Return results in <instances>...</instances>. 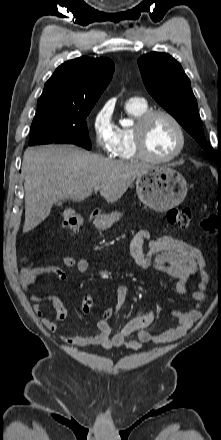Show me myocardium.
<instances>
[{"instance_id": "1", "label": "myocardium", "mask_w": 221, "mask_h": 440, "mask_svg": "<svg viewBox=\"0 0 221 440\" xmlns=\"http://www.w3.org/2000/svg\"><path fill=\"white\" fill-rule=\"evenodd\" d=\"M157 116H164L170 120L176 128L179 137V143L176 150L171 155L166 157H157L152 155L148 151L145 143L146 127L148 123ZM133 141L138 157L155 163H167L176 159L184 151L186 145V135L182 124L172 113L164 109H155L146 111L137 118L133 126Z\"/></svg>"}]
</instances>
